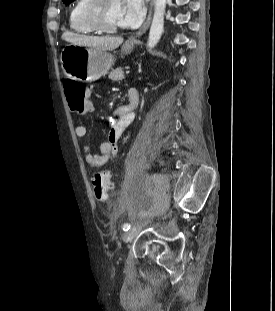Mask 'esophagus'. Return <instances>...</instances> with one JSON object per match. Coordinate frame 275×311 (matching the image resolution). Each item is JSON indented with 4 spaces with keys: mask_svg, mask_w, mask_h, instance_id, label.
Returning a JSON list of instances; mask_svg holds the SVG:
<instances>
[{
    "mask_svg": "<svg viewBox=\"0 0 275 311\" xmlns=\"http://www.w3.org/2000/svg\"><path fill=\"white\" fill-rule=\"evenodd\" d=\"M153 7H154V0H152L151 3H150V10H149V14H148V17H147L145 23L140 28V30L136 33L135 36H131L128 39V41H127L128 43H135L137 41V37L141 36L142 34H144L147 31V29L150 26L151 19H152Z\"/></svg>",
    "mask_w": 275,
    "mask_h": 311,
    "instance_id": "1",
    "label": "esophagus"
}]
</instances>
